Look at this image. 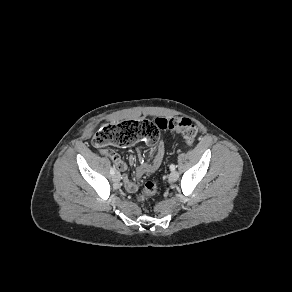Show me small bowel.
I'll return each mask as SVG.
<instances>
[{"instance_id":"small-bowel-1","label":"small bowel","mask_w":292,"mask_h":292,"mask_svg":"<svg viewBox=\"0 0 292 292\" xmlns=\"http://www.w3.org/2000/svg\"><path fill=\"white\" fill-rule=\"evenodd\" d=\"M147 145L152 147V155L150 159L145 162L141 163L136 167L135 175L136 177H141L146 174H150L158 169V167L161 165L163 157H164V144L159 139L156 142H150L146 141ZM102 153L113 160L116 167L122 171L125 172L128 168V165L125 161H123L120 156L111 149H104L102 150ZM136 162V156L134 154L129 156V163L135 164ZM123 185L125 189L130 192L134 193L138 190V185L136 182L130 180L126 175L123 176Z\"/></svg>"}]
</instances>
